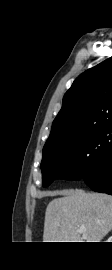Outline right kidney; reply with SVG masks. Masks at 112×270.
I'll list each match as a JSON object with an SVG mask.
<instances>
[{
  "label": "right kidney",
  "instance_id": "obj_1",
  "mask_svg": "<svg viewBox=\"0 0 112 270\" xmlns=\"http://www.w3.org/2000/svg\"><path fill=\"white\" fill-rule=\"evenodd\" d=\"M107 242H112V236L108 238Z\"/></svg>",
  "mask_w": 112,
  "mask_h": 270
}]
</instances>
